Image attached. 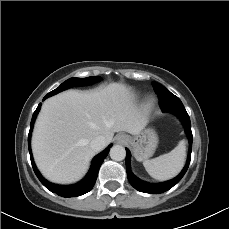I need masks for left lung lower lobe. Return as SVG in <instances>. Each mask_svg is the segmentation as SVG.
<instances>
[{"label": "left lung lower lobe", "mask_w": 229, "mask_h": 229, "mask_svg": "<svg viewBox=\"0 0 229 229\" xmlns=\"http://www.w3.org/2000/svg\"><path fill=\"white\" fill-rule=\"evenodd\" d=\"M172 112L175 115H177L180 118V120L182 121L184 128H185V132H186L188 139H189L190 147H189L187 163H186L185 167L183 168V170L181 171V173L177 177H175L174 179H172L170 181L163 182V183L152 184V183H148V182H145V181L138 179L132 173V171L130 169V152L126 148V169H127L128 180H129L130 184L140 192L158 194V193H163V192L169 190L170 188H172L174 185H176L182 179V177L184 176V174L186 173V171L189 167V163L191 160L192 140H193V136H192V132H191L190 118H189V115L187 114L185 108H178V109L173 110Z\"/></svg>", "instance_id": "left-lung-lower-lobe-1"}]
</instances>
